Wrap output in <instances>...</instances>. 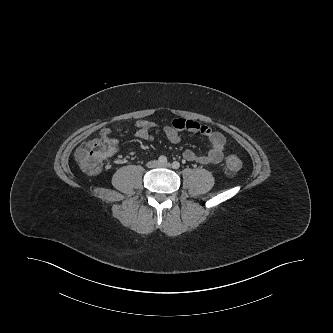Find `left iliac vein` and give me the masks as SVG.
Here are the masks:
<instances>
[{
  "label": "left iliac vein",
  "instance_id": "4c4485c4",
  "mask_svg": "<svg viewBox=\"0 0 333 333\" xmlns=\"http://www.w3.org/2000/svg\"><path fill=\"white\" fill-rule=\"evenodd\" d=\"M161 166H162V167H167V168H168V167H170V163L162 164Z\"/></svg>",
  "mask_w": 333,
  "mask_h": 333
}]
</instances>
